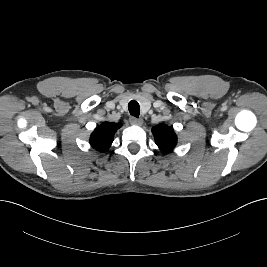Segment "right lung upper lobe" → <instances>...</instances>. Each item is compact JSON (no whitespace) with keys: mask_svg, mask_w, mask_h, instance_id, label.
I'll use <instances>...</instances> for the list:
<instances>
[{"mask_svg":"<svg viewBox=\"0 0 267 267\" xmlns=\"http://www.w3.org/2000/svg\"><path fill=\"white\" fill-rule=\"evenodd\" d=\"M122 126L121 123L104 122L96 127L90 137L91 146L100 151H107L112 142L115 132Z\"/></svg>","mask_w":267,"mask_h":267,"instance_id":"obj_1","label":"right lung upper lobe"}]
</instances>
